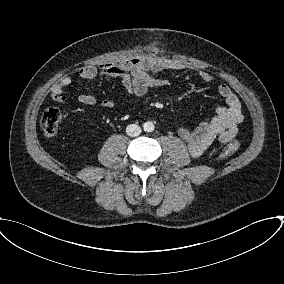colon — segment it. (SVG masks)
<instances>
[{
  "label": "colon",
  "mask_w": 284,
  "mask_h": 284,
  "mask_svg": "<svg viewBox=\"0 0 284 284\" xmlns=\"http://www.w3.org/2000/svg\"><path fill=\"white\" fill-rule=\"evenodd\" d=\"M61 122V112L56 107H49L47 108L40 118V126L43 133L48 136L52 137L55 136L59 131V125ZM239 148V143L236 140L231 141L224 151L222 152L221 156L223 158L230 156Z\"/></svg>",
  "instance_id": "obj_1"
}]
</instances>
